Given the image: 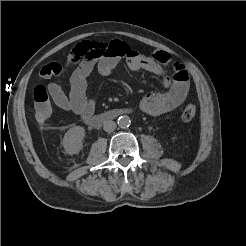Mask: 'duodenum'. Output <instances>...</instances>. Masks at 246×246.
Returning a JSON list of instances; mask_svg holds the SVG:
<instances>
[{"mask_svg": "<svg viewBox=\"0 0 246 246\" xmlns=\"http://www.w3.org/2000/svg\"><path fill=\"white\" fill-rule=\"evenodd\" d=\"M130 112L131 110L127 108H114V109H110L105 112H102L100 114L91 115L85 121L89 126L93 128H99L105 122L116 119L122 115H127Z\"/></svg>", "mask_w": 246, "mask_h": 246, "instance_id": "obj_1", "label": "duodenum"}]
</instances>
